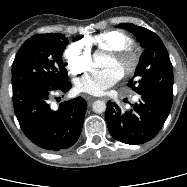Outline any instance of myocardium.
I'll return each instance as SVG.
<instances>
[{"label": "myocardium", "mask_w": 187, "mask_h": 187, "mask_svg": "<svg viewBox=\"0 0 187 187\" xmlns=\"http://www.w3.org/2000/svg\"><path fill=\"white\" fill-rule=\"evenodd\" d=\"M109 55L116 60H127L128 64L122 71L123 76L133 75L139 65L140 57L139 54L132 47H124L116 50L109 51Z\"/></svg>", "instance_id": "myocardium-1"}]
</instances>
